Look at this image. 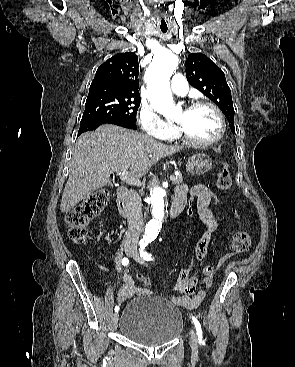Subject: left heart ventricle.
<instances>
[{"instance_id": "left-heart-ventricle-1", "label": "left heart ventricle", "mask_w": 295, "mask_h": 367, "mask_svg": "<svg viewBox=\"0 0 295 367\" xmlns=\"http://www.w3.org/2000/svg\"><path fill=\"white\" fill-rule=\"evenodd\" d=\"M175 121L193 138L210 140L219 133L220 123L215 112L206 106L181 110Z\"/></svg>"}]
</instances>
